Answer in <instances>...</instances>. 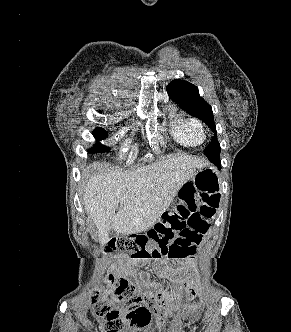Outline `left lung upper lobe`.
I'll use <instances>...</instances> for the list:
<instances>
[{"mask_svg": "<svg viewBox=\"0 0 291 332\" xmlns=\"http://www.w3.org/2000/svg\"><path fill=\"white\" fill-rule=\"evenodd\" d=\"M166 90L182 109L186 110L188 114L204 121L214 132H216L212 108L202 97H200L198 88L195 85L184 80L176 79L169 83ZM220 151V143L215 134L209 146L204 150V154L211 161L220 158Z\"/></svg>", "mask_w": 291, "mask_h": 332, "instance_id": "obj_1", "label": "left lung upper lobe"}]
</instances>
